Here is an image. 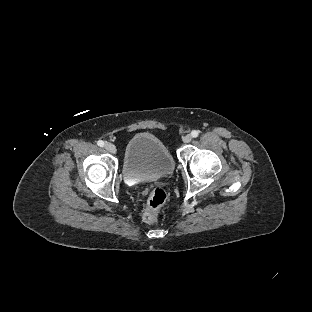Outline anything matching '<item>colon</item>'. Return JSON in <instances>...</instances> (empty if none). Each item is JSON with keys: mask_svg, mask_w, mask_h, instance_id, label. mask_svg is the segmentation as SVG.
Segmentation results:
<instances>
[{"mask_svg": "<svg viewBox=\"0 0 312 312\" xmlns=\"http://www.w3.org/2000/svg\"><path fill=\"white\" fill-rule=\"evenodd\" d=\"M167 197V193L160 187L152 190L143 211V219L146 223L153 224L157 221L158 210L166 202Z\"/></svg>", "mask_w": 312, "mask_h": 312, "instance_id": "5ec220e1", "label": "colon"}]
</instances>
